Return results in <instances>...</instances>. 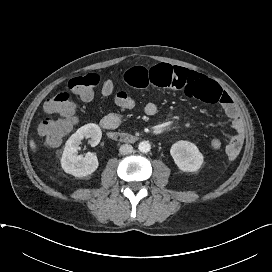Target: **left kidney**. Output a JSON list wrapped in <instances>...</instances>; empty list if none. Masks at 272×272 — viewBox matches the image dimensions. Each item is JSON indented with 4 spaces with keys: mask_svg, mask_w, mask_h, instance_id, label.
Listing matches in <instances>:
<instances>
[{
    "mask_svg": "<svg viewBox=\"0 0 272 272\" xmlns=\"http://www.w3.org/2000/svg\"><path fill=\"white\" fill-rule=\"evenodd\" d=\"M170 154L184 172H196L203 164L204 158L194 143L180 140L171 146Z\"/></svg>",
    "mask_w": 272,
    "mask_h": 272,
    "instance_id": "5707ae66",
    "label": "left kidney"
}]
</instances>
